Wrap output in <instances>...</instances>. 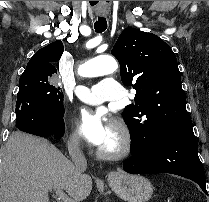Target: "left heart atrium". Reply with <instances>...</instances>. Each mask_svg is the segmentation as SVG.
Masks as SVG:
<instances>
[{"instance_id": "39dd6f15", "label": "left heart atrium", "mask_w": 209, "mask_h": 202, "mask_svg": "<svg viewBox=\"0 0 209 202\" xmlns=\"http://www.w3.org/2000/svg\"><path fill=\"white\" fill-rule=\"evenodd\" d=\"M78 126L82 138L96 148L102 146L113 128L105 114L89 108L80 111Z\"/></svg>"}]
</instances>
